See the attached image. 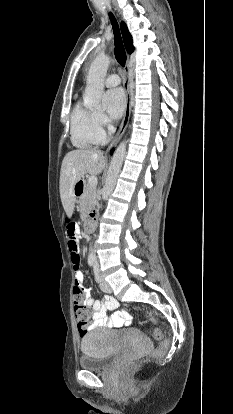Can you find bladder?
<instances>
[{"label":"bladder","instance_id":"bladder-1","mask_svg":"<svg viewBox=\"0 0 233 414\" xmlns=\"http://www.w3.org/2000/svg\"><path fill=\"white\" fill-rule=\"evenodd\" d=\"M117 335V331L102 328H95L85 333L81 340L80 368L89 371L108 369L119 353L116 344ZM137 336L140 343L150 347L148 339L139 334Z\"/></svg>","mask_w":233,"mask_h":414}]
</instances>
